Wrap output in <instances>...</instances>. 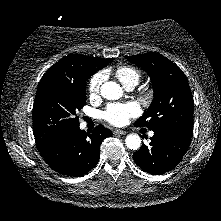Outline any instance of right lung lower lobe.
I'll return each instance as SVG.
<instances>
[{"instance_id":"right-lung-lower-lobe-1","label":"right lung lower lobe","mask_w":221,"mask_h":221,"mask_svg":"<svg viewBox=\"0 0 221 221\" xmlns=\"http://www.w3.org/2000/svg\"><path fill=\"white\" fill-rule=\"evenodd\" d=\"M111 135V130L102 125L87 133L77 125L37 144V148L53 170L68 176H84L97 165L100 144Z\"/></svg>"}]
</instances>
